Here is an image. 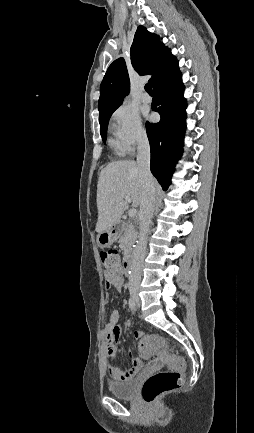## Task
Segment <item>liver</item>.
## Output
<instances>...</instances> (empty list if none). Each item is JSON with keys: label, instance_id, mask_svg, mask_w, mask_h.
Listing matches in <instances>:
<instances>
[{"label": "liver", "instance_id": "6515ba94", "mask_svg": "<svg viewBox=\"0 0 254 433\" xmlns=\"http://www.w3.org/2000/svg\"><path fill=\"white\" fill-rule=\"evenodd\" d=\"M125 196L131 198L133 206L141 205L143 180L137 163L133 160L111 162L100 172L96 199L97 233L108 230L120 221L127 207Z\"/></svg>", "mask_w": 254, "mask_h": 433}]
</instances>
